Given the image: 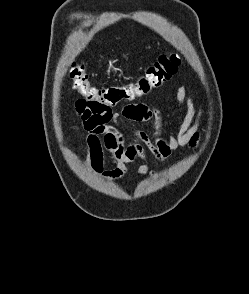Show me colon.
I'll return each instance as SVG.
<instances>
[{
    "label": "colon",
    "mask_w": 249,
    "mask_h": 294,
    "mask_svg": "<svg viewBox=\"0 0 249 294\" xmlns=\"http://www.w3.org/2000/svg\"><path fill=\"white\" fill-rule=\"evenodd\" d=\"M180 59L176 54L164 53L147 67L133 82L97 88L91 85L83 65L74 63L70 78L73 87L92 106H115L123 101H132L160 88L177 71Z\"/></svg>",
    "instance_id": "colon-1"
}]
</instances>
